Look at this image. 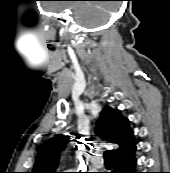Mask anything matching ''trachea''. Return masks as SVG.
I'll list each match as a JSON object with an SVG mask.
<instances>
[{
    "instance_id": "obj_1",
    "label": "trachea",
    "mask_w": 170,
    "mask_h": 173,
    "mask_svg": "<svg viewBox=\"0 0 170 173\" xmlns=\"http://www.w3.org/2000/svg\"><path fill=\"white\" fill-rule=\"evenodd\" d=\"M104 159H105V161H113L112 150H106L104 152Z\"/></svg>"
}]
</instances>
